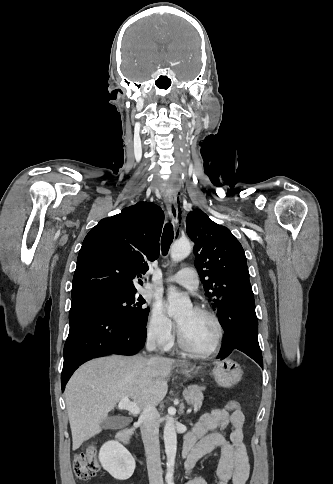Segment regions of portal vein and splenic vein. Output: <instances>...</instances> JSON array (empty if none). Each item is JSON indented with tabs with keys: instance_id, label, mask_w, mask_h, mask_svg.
Instances as JSON below:
<instances>
[{
	"instance_id": "18ae733b",
	"label": "portal vein and splenic vein",
	"mask_w": 333,
	"mask_h": 484,
	"mask_svg": "<svg viewBox=\"0 0 333 484\" xmlns=\"http://www.w3.org/2000/svg\"><path fill=\"white\" fill-rule=\"evenodd\" d=\"M118 407L119 409L127 410L134 415H137L140 413V408L135 403L131 402L128 397L121 399L120 402L118 403Z\"/></svg>"
}]
</instances>
